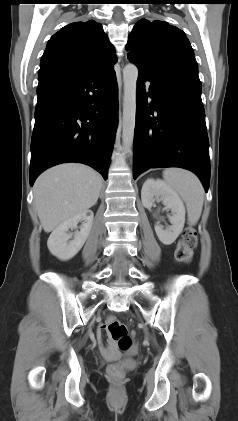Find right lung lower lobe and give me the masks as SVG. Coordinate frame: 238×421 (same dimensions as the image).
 Listing matches in <instances>:
<instances>
[{
  "instance_id": "98d812e1",
  "label": "right lung lower lobe",
  "mask_w": 238,
  "mask_h": 421,
  "mask_svg": "<svg viewBox=\"0 0 238 421\" xmlns=\"http://www.w3.org/2000/svg\"><path fill=\"white\" fill-rule=\"evenodd\" d=\"M37 94L30 186L45 169L65 162L87 164L106 180L118 124L114 68L39 76Z\"/></svg>"
}]
</instances>
